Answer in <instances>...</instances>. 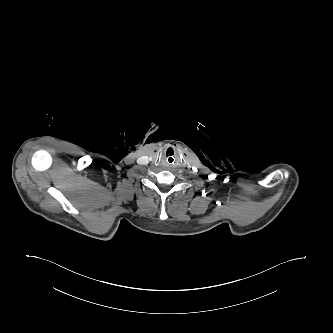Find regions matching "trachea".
Returning a JSON list of instances; mask_svg holds the SVG:
<instances>
[{
    "label": "trachea",
    "mask_w": 333,
    "mask_h": 333,
    "mask_svg": "<svg viewBox=\"0 0 333 333\" xmlns=\"http://www.w3.org/2000/svg\"><path fill=\"white\" fill-rule=\"evenodd\" d=\"M164 160L166 163L170 164V165H173L177 162L178 160V156L175 152L173 151H168L165 153L164 155Z\"/></svg>",
    "instance_id": "obj_1"
}]
</instances>
